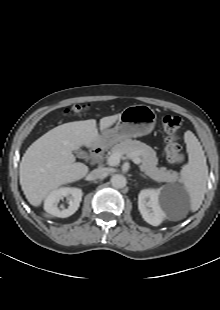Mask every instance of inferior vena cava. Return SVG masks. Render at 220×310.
<instances>
[{"mask_svg":"<svg viewBox=\"0 0 220 310\" xmlns=\"http://www.w3.org/2000/svg\"><path fill=\"white\" fill-rule=\"evenodd\" d=\"M106 174V170L104 168H97L90 172L88 175L89 180H96L102 178Z\"/></svg>","mask_w":220,"mask_h":310,"instance_id":"1","label":"inferior vena cava"}]
</instances>
